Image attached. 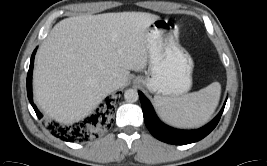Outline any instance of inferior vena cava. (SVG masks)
I'll return each mask as SVG.
<instances>
[{
    "label": "inferior vena cava",
    "mask_w": 267,
    "mask_h": 166,
    "mask_svg": "<svg viewBox=\"0 0 267 166\" xmlns=\"http://www.w3.org/2000/svg\"><path fill=\"white\" fill-rule=\"evenodd\" d=\"M104 86H105L107 91L113 92L119 88V83H118V81L113 80V81H109V82L105 83Z\"/></svg>",
    "instance_id": "inferior-vena-cava-1"
}]
</instances>
